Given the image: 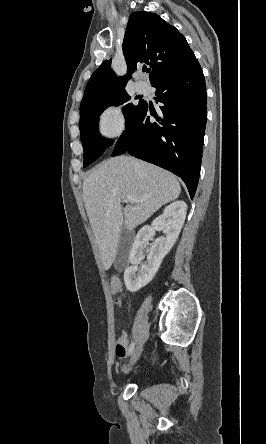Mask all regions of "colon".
<instances>
[{"label":"colon","mask_w":266,"mask_h":444,"mask_svg":"<svg viewBox=\"0 0 266 444\" xmlns=\"http://www.w3.org/2000/svg\"><path fill=\"white\" fill-rule=\"evenodd\" d=\"M116 302H118V303H119V299H117V300H116Z\"/></svg>","instance_id":"obj_1"}]
</instances>
